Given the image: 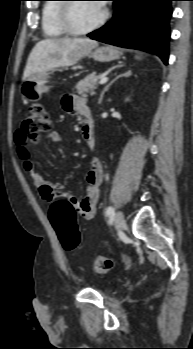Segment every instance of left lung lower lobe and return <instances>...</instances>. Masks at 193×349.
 Segmentation results:
<instances>
[{"instance_id": "left-lung-lower-lobe-1", "label": "left lung lower lobe", "mask_w": 193, "mask_h": 349, "mask_svg": "<svg viewBox=\"0 0 193 349\" xmlns=\"http://www.w3.org/2000/svg\"><path fill=\"white\" fill-rule=\"evenodd\" d=\"M112 1V21L89 33L88 37L119 47L153 52L167 64L169 18L174 0Z\"/></svg>"}]
</instances>
